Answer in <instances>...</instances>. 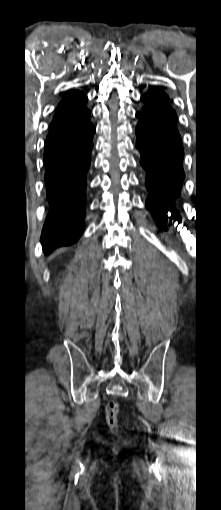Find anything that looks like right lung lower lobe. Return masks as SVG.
Returning a JSON list of instances; mask_svg holds the SVG:
<instances>
[{"label": "right lung lower lobe", "mask_w": 221, "mask_h": 510, "mask_svg": "<svg viewBox=\"0 0 221 510\" xmlns=\"http://www.w3.org/2000/svg\"><path fill=\"white\" fill-rule=\"evenodd\" d=\"M94 133L89 119L70 133L46 138L45 183L50 210L41 235L45 254L72 245L82 233Z\"/></svg>", "instance_id": "right-lung-lower-lobe-1"}]
</instances>
